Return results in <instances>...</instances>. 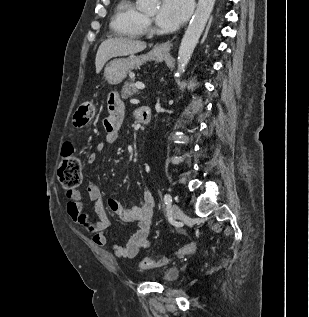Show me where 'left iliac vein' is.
Here are the masks:
<instances>
[{
    "instance_id": "left-iliac-vein-1",
    "label": "left iliac vein",
    "mask_w": 309,
    "mask_h": 317,
    "mask_svg": "<svg viewBox=\"0 0 309 317\" xmlns=\"http://www.w3.org/2000/svg\"><path fill=\"white\" fill-rule=\"evenodd\" d=\"M182 214L180 207L177 204L171 205V215L174 219H177Z\"/></svg>"
}]
</instances>
